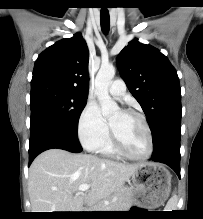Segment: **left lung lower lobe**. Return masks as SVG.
Masks as SVG:
<instances>
[{
  "label": "left lung lower lobe",
  "mask_w": 203,
  "mask_h": 219,
  "mask_svg": "<svg viewBox=\"0 0 203 219\" xmlns=\"http://www.w3.org/2000/svg\"><path fill=\"white\" fill-rule=\"evenodd\" d=\"M181 128L169 131L155 146L151 160L170 166L180 178Z\"/></svg>",
  "instance_id": "left-lung-lower-lobe-1"
}]
</instances>
